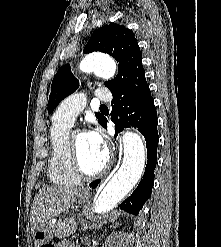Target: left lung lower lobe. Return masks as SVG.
Wrapping results in <instances>:
<instances>
[{"label":"left lung lower lobe","mask_w":221,"mask_h":247,"mask_svg":"<svg viewBox=\"0 0 221 247\" xmlns=\"http://www.w3.org/2000/svg\"><path fill=\"white\" fill-rule=\"evenodd\" d=\"M111 120L115 123L116 135L123 128L134 127L142 133L146 140L148 159L144 176L131 196L118 207L128 213L138 215L146 200L151 196L154 184V169L157 163L159 140L157 114L150 90L126 99L113 96ZM102 126L107 127L106 118ZM99 183L100 180H97L91 183L90 187L96 188Z\"/></svg>","instance_id":"0a47b994"}]
</instances>
